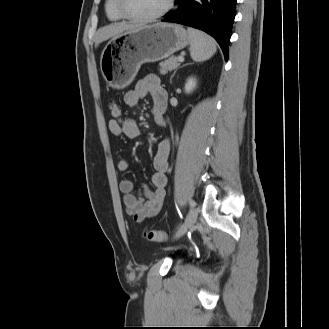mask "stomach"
<instances>
[{
	"instance_id": "0dacf381",
	"label": "stomach",
	"mask_w": 329,
	"mask_h": 329,
	"mask_svg": "<svg viewBox=\"0 0 329 329\" xmlns=\"http://www.w3.org/2000/svg\"><path fill=\"white\" fill-rule=\"evenodd\" d=\"M189 43L187 31L173 23H155L112 37L101 53L100 68L109 86L123 89L141 65L171 56Z\"/></svg>"
}]
</instances>
